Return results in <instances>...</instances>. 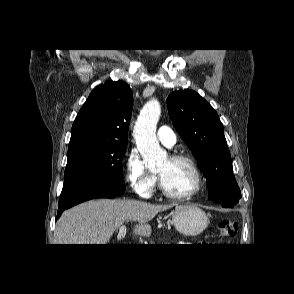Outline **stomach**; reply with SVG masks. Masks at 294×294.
<instances>
[{
    "label": "stomach",
    "mask_w": 294,
    "mask_h": 294,
    "mask_svg": "<svg viewBox=\"0 0 294 294\" xmlns=\"http://www.w3.org/2000/svg\"><path fill=\"white\" fill-rule=\"evenodd\" d=\"M172 222L177 231L185 236H196L208 226V217L197 205H180L172 213Z\"/></svg>",
    "instance_id": "obj_1"
}]
</instances>
